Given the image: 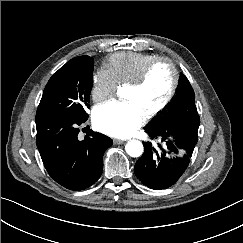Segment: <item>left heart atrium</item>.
<instances>
[{"label": "left heart atrium", "mask_w": 243, "mask_h": 243, "mask_svg": "<svg viewBox=\"0 0 243 243\" xmlns=\"http://www.w3.org/2000/svg\"><path fill=\"white\" fill-rule=\"evenodd\" d=\"M144 114L132 102L112 101L98 106L93 112L95 127L112 137L124 138L132 134L144 121Z\"/></svg>", "instance_id": "39dd6f15"}]
</instances>
